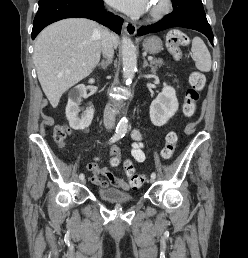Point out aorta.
Wrapping results in <instances>:
<instances>
[{
  "mask_svg": "<svg viewBox=\"0 0 248 258\" xmlns=\"http://www.w3.org/2000/svg\"><path fill=\"white\" fill-rule=\"evenodd\" d=\"M122 65L126 82L131 83L137 69V55L132 41L126 36H123L122 39ZM127 128L128 121L126 118H122L116 127V132L124 134Z\"/></svg>",
  "mask_w": 248,
  "mask_h": 258,
  "instance_id": "762f6f07",
  "label": "aorta"
}]
</instances>
